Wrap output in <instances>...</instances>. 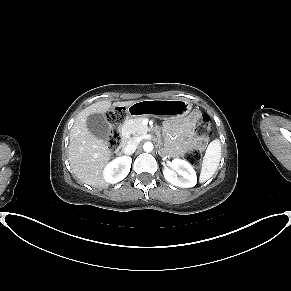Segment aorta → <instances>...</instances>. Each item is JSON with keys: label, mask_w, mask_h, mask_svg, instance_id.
Here are the masks:
<instances>
[{"label": "aorta", "mask_w": 291, "mask_h": 291, "mask_svg": "<svg viewBox=\"0 0 291 291\" xmlns=\"http://www.w3.org/2000/svg\"><path fill=\"white\" fill-rule=\"evenodd\" d=\"M143 149L146 152H151L153 150V143L150 142V141L145 142L144 145H143Z\"/></svg>", "instance_id": "obj_1"}]
</instances>
